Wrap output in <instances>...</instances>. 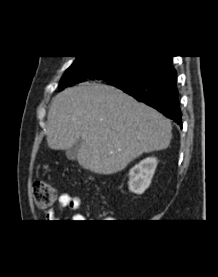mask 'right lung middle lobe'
I'll return each mask as SVG.
<instances>
[{
	"mask_svg": "<svg viewBox=\"0 0 218 277\" xmlns=\"http://www.w3.org/2000/svg\"><path fill=\"white\" fill-rule=\"evenodd\" d=\"M155 57L152 56H78L66 70L59 84V91L83 81L90 72L111 85L124 84L141 73Z\"/></svg>",
	"mask_w": 218,
	"mask_h": 277,
	"instance_id": "1",
	"label": "right lung middle lobe"
}]
</instances>
